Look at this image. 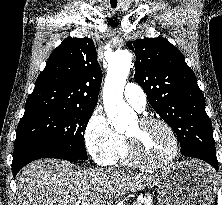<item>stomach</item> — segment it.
Wrapping results in <instances>:
<instances>
[{
	"instance_id": "stomach-1",
	"label": "stomach",
	"mask_w": 222,
	"mask_h": 205,
	"mask_svg": "<svg viewBox=\"0 0 222 205\" xmlns=\"http://www.w3.org/2000/svg\"><path fill=\"white\" fill-rule=\"evenodd\" d=\"M156 184L160 205H211L216 192L213 171L197 161L164 169Z\"/></svg>"
}]
</instances>
